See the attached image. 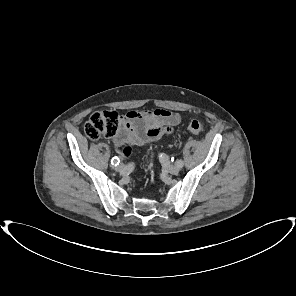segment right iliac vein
Returning <instances> with one entry per match:
<instances>
[{"label": "right iliac vein", "mask_w": 296, "mask_h": 296, "mask_svg": "<svg viewBox=\"0 0 296 296\" xmlns=\"http://www.w3.org/2000/svg\"><path fill=\"white\" fill-rule=\"evenodd\" d=\"M124 169V165L121 163L116 167L117 171H122Z\"/></svg>", "instance_id": "63e3f726"}]
</instances>
